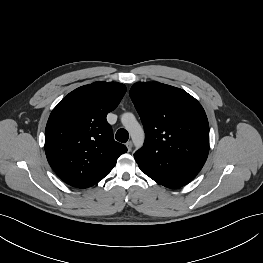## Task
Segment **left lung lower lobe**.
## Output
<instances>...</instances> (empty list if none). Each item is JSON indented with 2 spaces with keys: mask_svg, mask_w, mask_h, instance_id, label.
Here are the masks:
<instances>
[{
  "mask_svg": "<svg viewBox=\"0 0 263 263\" xmlns=\"http://www.w3.org/2000/svg\"><path fill=\"white\" fill-rule=\"evenodd\" d=\"M143 173L157 183L168 187L178 188L192 181L199 172L184 167L174 162H162L161 164H149L135 159Z\"/></svg>",
  "mask_w": 263,
  "mask_h": 263,
  "instance_id": "1",
  "label": "left lung lower lobe"
}]
</instances>
